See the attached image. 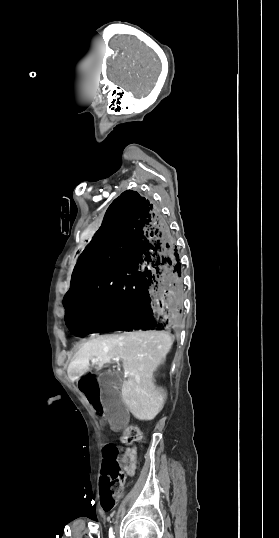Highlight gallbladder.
<instances>
[{
	"label": "gallbladder",
	"mask_w": 279,
	"mask_h": 538,
	"mask_svg": "<svg viewBox=\"0 0 279 538\" xmlns=\"http://www.w3.org/2000/svg\"><path fill=\"white\" fill-rule=\"evenodd\" d=\"M122 372H104L100 374L98 382L103 392L101 401L103 405H108L106 419L108 423H113L115 428H124L131 415L126 411L119 392L122 386Z\"/></svg>",
	"instance_id": "bac80fb5"
}]
</instances>
